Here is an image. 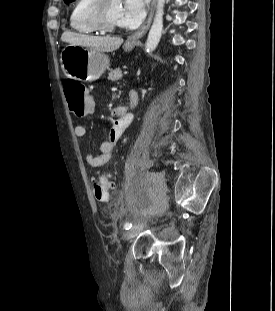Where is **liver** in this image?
Wrapping results in <instances>:
<instances>
[{
    "label": "liver",
    "instance_id": "liver-1",
    "mask_svg": "<svg viewBox=\"0 0 275 311\" xmlns=\"http://www.w3.org/2000/svg\"><path fill=\"white\" fill-rule=\"evenodd\" d=\"M61 39L63 42L71 45L89 47L100 52H112L118 49L123 43V39L121 37H100L72 33L68 31L62 34Z\"/></svg>",
    "mask_w": 275,
    "mask_h": 311
}]
</instances>
